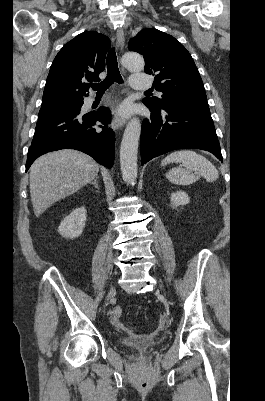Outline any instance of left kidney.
<instances>
[{
    "label": "left kidney",
    "mask_w": 265,
    "mask_h": 401,
    "mask_svg": "<svg viewBox=\"0 0 265 401\" xmlns=\"http://www.w3.org/2000/svg\"><path fill=\"white\" fill-rule=\"evenodd\" d=\"M171 205L172 207H179V205H188L190 198L184 190H176L171 192Z\"/></svg>",
    "instance_id": "1"
}]
</instances>
